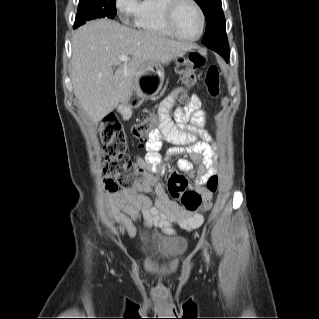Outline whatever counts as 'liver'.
Segmentation results:
<instances>
[{"instance_id":"6515ba94","label":"liver","mask_w":319,"mask_h":319,"mask_svg":"<svg viewBox=\"0 0 319 319\" xmlns=\"http://www.w3.org/2000/svg\"><path fill=\"white\" fill-rule=\"evenodd\" d=\"M192 46L162 35L137 31L109 19L92 20L72 37L74 95L94 123L130 100L134 77L147 62L168 64ZM119 55H131L120 61ZM113 67H117L114 72Z\"/></svg>"}]
</instances>
